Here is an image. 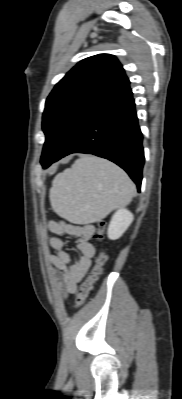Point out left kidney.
<instances>
[{"instance_id": "left-kidney-1", "label": "left kidney", "mask_w": 182, "mask_h": 399, "mask_svg": "<svg viewBox=\"0 0 182 399\" xmlns=\"http://www.w3.org/2000/svg\"><path fill=\"white\" fill-rule=\"evenodd\" d=\"M133 219V214L126 208H120L119 210H117L112 216L108 226V238L111 240L119 239L128 229Z\"/></svg>"}]
</instances>
